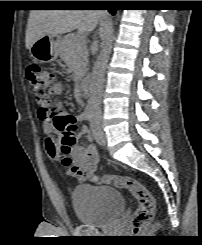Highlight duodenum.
I'll use <instances>...</instances> for the list:
<instances>
[{"label": "duodenum", "instance_id": "duodenum-1", "mask_svg": "<svg viewBox=\"0 0 202 245\" xmlns=\"http://www.w3.org/2000/svg\"><path fill=\"white\" fill-rule=\"evenodd\" d=\"M78 85L80 93L86 94L89 91L90 79L88 77H84L79 81Z\"/></svg>", "mask_w": 202, "mask_h": 245}]
</instances>
